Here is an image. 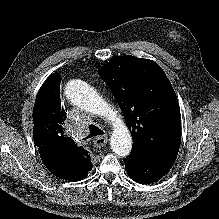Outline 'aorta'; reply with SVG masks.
Masks as SVG:
<instances>
[{
    "label": "aorta",
    "mask_w": 219,
    "mask_h": 219,
    "mask_svg": "<svg viewBox=\"0 0 219 219\" xmlns=\"http://www.w3.org/2000/svg\"><path fill=\"white\" fill-rule=\"evenodd\" d=\"M67 99L75 106L105 119L112 127L110 145L119 157H126L132 149V137L120 113L99 93L81 80H72L65 87Z\"/></svg>",
    "instance_id": "762f6f07"
}]
</instances>
